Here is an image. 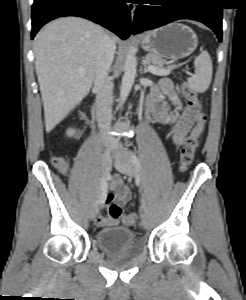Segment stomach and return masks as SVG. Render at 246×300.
Wrapping results in <instances>:
<instances>
[{
	"mask_svg": "<svg viewBox=\"0 0 246 300\" xmlns=\"http://www.w3.org/2000/svg\"><path fill=\"white\" fill-rule=\"evenodd\" d=\"M140 44L145 51L162 60L176 61L195 51L198 38L187 25L170 23L144 34Z\"/></svg>",
	"mask_w": 246,
	"mask_h": 300,
	"instance_id": "stomach-1",
	"label": "stomach"
}]
</instances>
